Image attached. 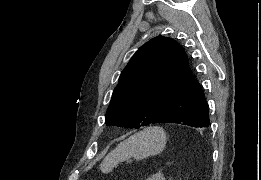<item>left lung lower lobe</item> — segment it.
Segmentation results:
<instances>
[{
    "mask_svg": "<svg viewBox=\"0 0 261 180\" xmlns=\"http://www.w3.org/2000/svg\"><path fill=\"white\" fill-rule=\"evenodd\" d=\"M159 122L184 124L197 128L209 126V107L203 89L193 74L151 124Z\"/></svg>",
    "mask_w": 261,
    "mask_h": 180,
    "instance_id": "0a47b994",
    "label": "left lung lower lobe"
}]
</instances>
